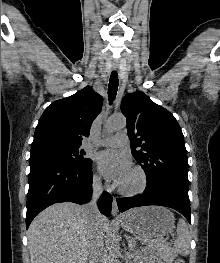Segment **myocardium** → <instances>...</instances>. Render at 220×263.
<instances>
[{"instance_id":"obj_1","label":"myocardium","mask_w":220,"mask_h":263,"mask_svg":"<svg viewBox=\"0 0 220 263\" xmlns=\"http://www.w3.org/2000/svg\"><path fill=\"white\" fill-rule=\"evenodd\" d=\"M132 170L136 172L139 176V185L132 189H126L121 186H118L117 188L118 192L126 197H133L143 193L148 183L147 174L142 167L134 166Z\"/></svg>"}]
</instances>
